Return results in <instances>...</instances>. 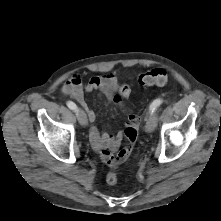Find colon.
<instances>
[{"label": "colon", "instance_id": "colon-1", "mask_svg": "<svg viewBox=\"0 0 221 221\" xmlns=\"http://www.w3.org/2000/svg\"><path fill=\"white\" fill-rule=\"evenodd\" d=\"M167 73L162 68L150 69L147 72L139 76V83L143 86H162L167 82ZM130 88L127 85H123L119 92L116 94L114 101L120 105H124V101L130 95ZM138 125L139 122L130 125L125 130L126 145L119 151L118 154L111 156L107 160V164L112 168L106 174V182L110 185H114L118 182V173L116 171L117 166L125 160L131 153L133 146L138 136Z\"/></svg>", "mask_w": 221, "mask_h": 221}]
</instances>
